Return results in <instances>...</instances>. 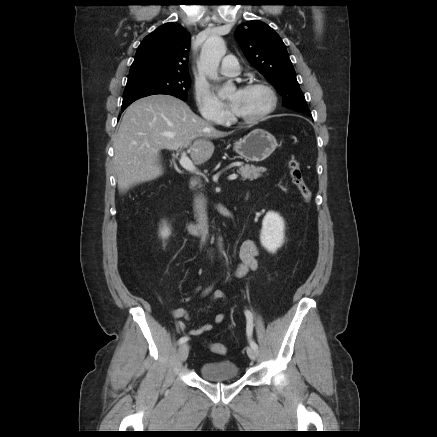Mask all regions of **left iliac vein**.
Segmentation results:
<instances>
[{"mask_svg":"<svg viewBox=\"0 0 437 437\" xmlns=\"http://www.w3.org/2000/svg\"><path fill=\"white\" fill-rule=\"evenodd\" d=\"M247 354L251 360H256L258 357V351L252 347L247 348Z\"/></svg>","mask_w":437,"mask_h":437,"instance_id":"obj_1","label":"left iliac vein"}]
</instances>
